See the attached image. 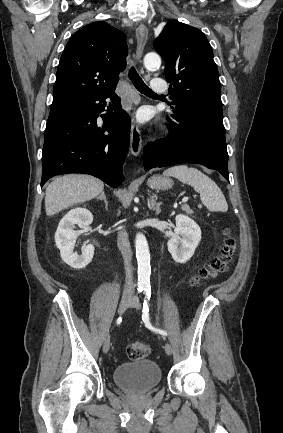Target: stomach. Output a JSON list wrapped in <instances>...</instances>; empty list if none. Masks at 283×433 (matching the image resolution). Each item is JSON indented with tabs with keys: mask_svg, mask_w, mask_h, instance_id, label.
I'll use <instances>...</instances> for the list:
<instances>
[{
	"mask_svg": "<svg viewBox=\"0 0 283 433\" xmlns=\"http://www.w3.org/2000/svg\"><path fill=\"white\" fill-rule=\"evenodd\" d=\"M147 182L148 186H151V188H162V190L171 188L173 184L171 178H167V176H159V174H154V176H151Z\"/></svg>",
	"mask_w": 283,
	"mask_h": 433,
	"instance_id": "obj_1",
	"label": "stomach"
}]
</instances>
